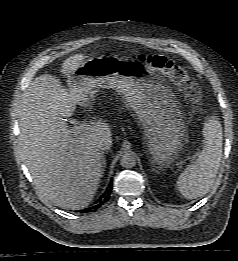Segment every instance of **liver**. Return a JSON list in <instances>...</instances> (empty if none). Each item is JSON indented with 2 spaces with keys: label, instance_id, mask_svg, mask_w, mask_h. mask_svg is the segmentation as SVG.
<instances>
[{
  "label": "liver",
  "instance_id": "liver-1",
  "mask_svg": "<svg viewBox=\"0 0 238 261\" xmlns=\"http://www.w3.org/2000/svg\"><path fill=\"white\" fill-rule=\"evenodd\" d=\"M76 54L62 64L67 78L84 63ZM84 98L66 89L55 76L37 77L24 92L18 111L20 150L39 194L70 209L89 205L103 174L101 143L112 145L108 123L97 120L87 132L75 135L63 117H70Z\"/></svg>",
  "mask_w": 238,
  "mask_h": 261
}]
</instances>
